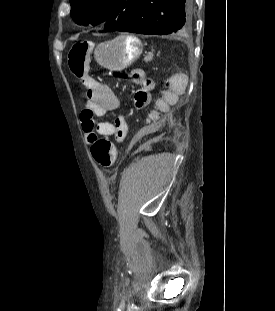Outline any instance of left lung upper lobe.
Here are the masks:
<instances>
[{
	"mask_svg": "<svg viewBox=\"0 0 275 311\" xmlns=\"http://www.w3.org/2000/svg\"><path fill=\"white\" fill-rule=\"evenodd\" d=\"M141 0H70L71 16L79 25L105 24L118 30L136 12Z\"/></svg>",
	"mask_w": 275,
	"mask_h": 311,
	"instance_id": "obj_1",
	"label": "left lung upper lobe"
}]
</instances>
